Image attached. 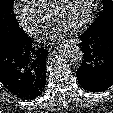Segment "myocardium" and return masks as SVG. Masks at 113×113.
I'll return each mask as SVG.
<instances>
[{
	"mask_svg": "<svg viewBox=\"0 0 113 113\" xmlns=\"http://www.w3.org/2000/svg\"><path fill=\"white\" fill-rule=\"evenodd\" d=\"M63 1L64 0H54L52 2L49 15L53 20H56V15H57L58 9ZM94 1L95 0H88L87 7H86L83 18L76 24L70 26L69 27L70 29L76 30V29L83 28L91 21L92 15H93Z\"/></svg>",
	"mask_w": 113,
	"mask_h": 113,
	"instance_id": "1",
	"label": "myocardium"
}]
</instances>
